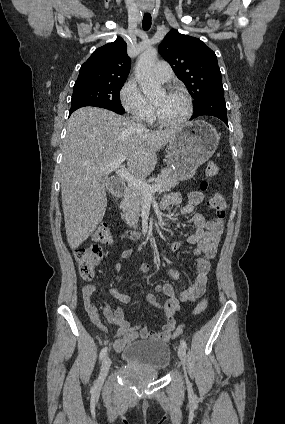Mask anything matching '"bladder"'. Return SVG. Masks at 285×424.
<instances>
[{
	"instance_id": "obj_1",
	"label": "bladder",
	"mask_w": 285,
	"mask_h": 424,
	"mask_svg": "<svg viewBox=\"0 0 285 424\" xmlns=\"http://www.w3.org/2000/svg\"><path fill=\"white\" fill-rule=\"evenodd\" d=\"M123 362L128 366L144 370L152 377L165 371L171 361L169 344L159 340H139L122 350Z\"/></svg>"
}]
</instances>
